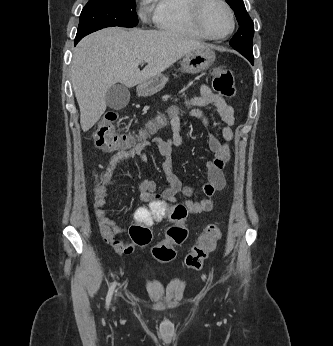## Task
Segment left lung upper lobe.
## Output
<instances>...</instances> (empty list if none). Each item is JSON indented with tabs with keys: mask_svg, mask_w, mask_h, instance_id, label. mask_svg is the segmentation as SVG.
Masks as SVG:
<instances>
[{
	"mask_svg": "<svg viewBox=\"0 0 333 346\" xmlns=\"http://www.w3.org/2000/svg\"><path fill=\"white\" fill-rule=\"evenodd\" d=\"M235 13L237 21L240 25L236 35L231 40L230 45L240 52L253 64V35L254 24L245 9L243 0H226Z\"/></svg>",
	"mask_w": 333,
	"mask_h": 346,
	"instance_id": "5c2ea615",
	"label": "left lung upper lobe"
}]
</instances>
